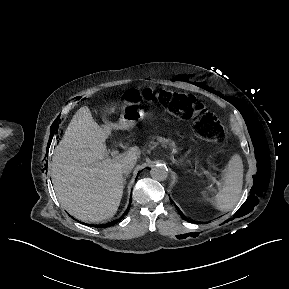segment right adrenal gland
<instances>
[{
  "mask_svg": "<svg viewBox=\"0 0 289 289\" xmlns=\"http://www.w3.org/2000/svg\"><path fill=\"white\" fill-rule=\"evenodd\" d=\"M127 177H128V174H126L125 177H124V184L126 183Z\"/></svg>",
  "mask_w": 289,
  "mask_h": 289,
  "instance_id": "1",
  "label": "right adrenal gland"
}]
</instances>
